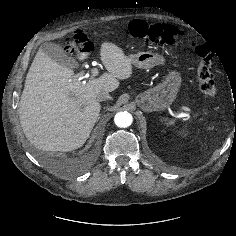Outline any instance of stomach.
I'll use <instances>...</instances> for the list:
<instances>
[{
	"mask_svg": "<svg viewBox=\"0 0 236 236\" xmlns=\"http://www.w3.org/2000/svg\"><path fill=\"white\" fill-rule=\"evenodd\" d=\"M130 58L133 65L141 69H148L165 63V58L162 55L150 51L139 52ZM181 82V74L172 70L162 83L140 93L136 97V102L146 112L164 110L174 102Z\"/></svg>",
	"mask_w": 236,
	"mask_h": 236,
	"instance_id": "obj_1",
	"label": "stomach"
}]
</instances>
